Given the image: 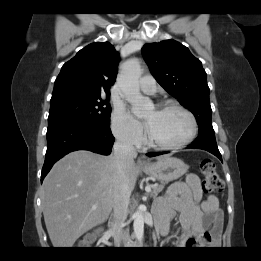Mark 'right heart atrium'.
Segmentation results:
<instances>
[{
	"label": "right heart atrium",
	"mask_w": 261,
	"mask_h": 261,
	"mask_svg": "<svg viewBox=\"0 0 261 261\" xmlns=\"http://www.w3.org/2000/svg\"><path fill=\"white\" fill-rule=\"evenodd\" d=\"M111 129L114 136L127 146H138L144 140L140 123L123 105H116L111 113Z\"/></svg>",
	"instance_id": "1"
}]
</instances>
